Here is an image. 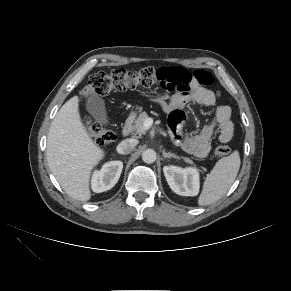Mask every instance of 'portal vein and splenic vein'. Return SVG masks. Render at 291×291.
I'll list each match as a JSON object with an SVG mask.
<instances>
[{
	"label": "portal vein and splenic vein",
	"instance_id": "18ae733b",
	"mask_svg": "<svg viewBox=\"0 0 291 291\" xmlns=\"http://www.w3.org/2000/svg\"><path fill=\"white\" fill-rule=\"evenodd\" d=\"M152 124H153V121L151 119H146L143 126L145 129H148L152 126Z\"/></svg>",
	"mask_w": 291,
	"mask_h": 291
}]
</instances>
